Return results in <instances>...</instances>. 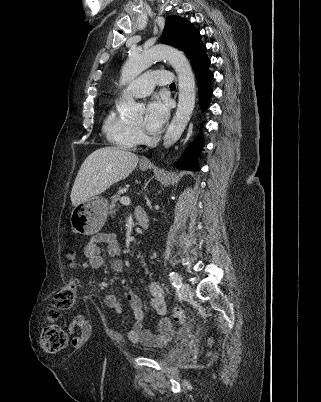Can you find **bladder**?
<instances>
[{
	"instance_id": "obj_1",
	"label": "bladder",
	"mask_w": 321,
	"mask_h": 402,
	"mask_svg": "<svg viewBox=\"0 0 321 402\" xmlns=\"http://www.w3.org/2000/svg\"><path fill=\"white\" fill-rule=\"evenodd\" d=\"M163 351L158 353L157 355L154 356H158L161 360H167L170 357V351H169V342L164 343L163 345Z\"/></svg>"
}]
</instances>
